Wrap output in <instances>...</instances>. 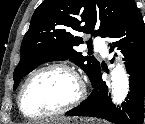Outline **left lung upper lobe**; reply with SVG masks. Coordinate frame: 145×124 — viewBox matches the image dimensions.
<instances>
[{
  "mask_svg": "<svg viewBox=\"0 0 145 124\" xmlns=\"http://www.w3.org/2000/svg\"><path fill=\"white\" fill-rule=\"evenodd\" d=\"M134 5L133 0H44L35 10L23 38L13 89L38 65L67 59L80 66L93 83L100 63L75 50L83 43L76 31L111 38Z\"/></svg>",
  "mask_w": 145,
  "mask_h": 124,
  "instance_id": "1",
  "label": "left lung upper lobe"
}]
</instances>
